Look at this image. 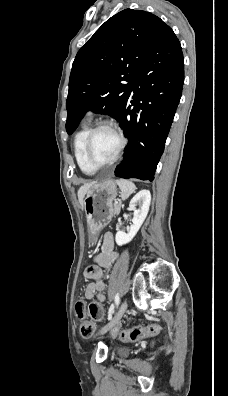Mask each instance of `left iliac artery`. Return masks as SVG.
Returning <instances> with one entry per match:
<instances>
[{"label": "left iliac artery", "instance_id": "obj_1", "mask_svg": "<svg viewBox=\"0 0 228 396\" xmlns=\"http://www.w3.org/2000/svg\"><path fill=\"white\" fill-rule=\"evenodd\" d=\"M119 303H120V296H119V294L117 293L116 296H115V304H116V306H118Z\"/></svg>", "mask_w": 228, "mask_h": 396}]
</instances>
